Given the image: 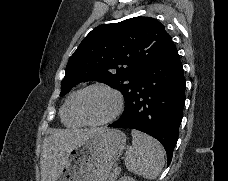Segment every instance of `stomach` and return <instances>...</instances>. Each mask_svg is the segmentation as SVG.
<instances>
[{
	"label": "stomach",
	"mask_w": 228,
	"mask_h": 181,
	"mask_svg": "<svg viewBox=\"0 0 228 181\" xmlns=\"http://www.w3.org/2000/svg\"><path fill=\"white\" fill-rule=\"evenodd\" d=\"M126 137L116 129L90 133L71 149L60 181H109L111 169L121 157Z\"/></svg>",
	"instance_id": "0dacf381"
}]
</instances>
